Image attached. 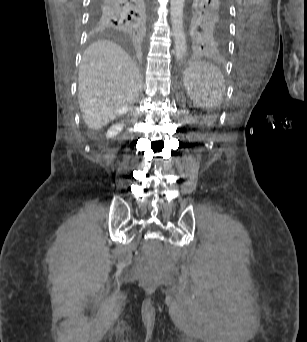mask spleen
<instances>
[{"instance_id":"spleen-1","label":"spleen","mask_w":307,"mask_h":342,"mask_svg":"<svg viewBox=\"0 0 307 342\" xmlns=\"http://www.w3.org/2000/svg\"><path fill=\"white\" fill-rule=\"evenodd\" d=\"M193 61L185 66L183 84L199 108H207L209 114H216L225 92L224 76L217 66L209 62H202V59L201 62Z\"/></svg>"}]
</instances>
